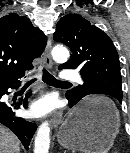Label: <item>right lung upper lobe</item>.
I'll return each instance as SVG.
<instances>
[{"mask_svg":"<svg viewBox=\"0 0 130 153\" xmlns=\"http://www.w3.org/2000/svg\"><path fill=\"white\" fill-rule=\"evenodd\" d=\"M46 42L27 17L12 13L0 18V84L16 82L32 70Z\"/></svg>","mask_w":130,"mask_h":153,"instance_id":"obj_1","label":"right lung upper lobe"}]
</instances>
